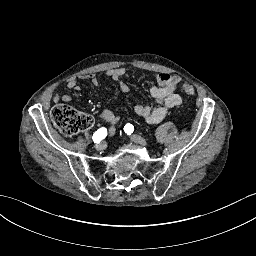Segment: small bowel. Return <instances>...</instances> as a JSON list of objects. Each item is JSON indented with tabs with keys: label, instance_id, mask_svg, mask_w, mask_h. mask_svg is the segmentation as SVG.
<instances>
[{
	"label": "small bowel",
	"instance_id": "small-bowel-1",
	"mask_svg": "<svg viewBox=\"0 0 256 256\" xmlns=\"http://www.w3.org/2000/svg\"><path fill=\"white\" fill-rule=\"evenodd\" d=\"M125 73V68L118 67L108 70L106 75L111 79L118 81L125 75ZM79 78L90 79L94 86H99V80L95 74L82 75ZM179 82L180 78L176 75L165 72L160 73L157 76V85L152 86L150 89V93L155 104L153 106L147 104H136L134 106V114L137 117L143 118L149 124H157L161 122L170 108L177 107L182 103V97L176 93V88ZM67 88L69 90L79 91L81 88L79 86L78 79H70L67 82ZM119 88L123 92H127L130 89L129 85L123 82L119 83ZM71 100L72 97L69 94H56L53 97L54 103H66ZM99 118L108 124L107 134L110 136L113 135L116 132V125L119 122V117L111 110L105 109L99 113Z\"/></svg>",
	"mask_w": 256,
	"mask_h": 256
}]
</instances>
